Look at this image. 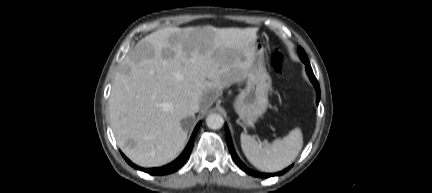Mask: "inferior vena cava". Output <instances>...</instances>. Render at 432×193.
<instances>
[{
	"instance_id": "1",
	"label": "inferior vena cava",
	"mask_w": 432,
	"mask_h": 193,
	"mask_svg": "<svg viewBox=\"0 0 432 193\" xmlns=\"http://www.w3.org/2000/svg\"><path fill=\"white\" fill-rule=\"evenodd\" d=\"M190 108L193 112H198L200 110V100L198 98H193L190 102Z\"/></svg>"
}]
</instances>
